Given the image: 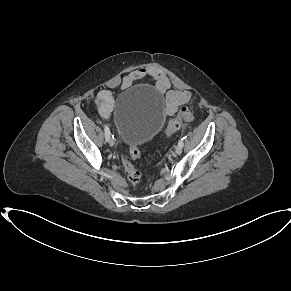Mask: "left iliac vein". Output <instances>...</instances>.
<instances>
[{"label": "left iliac vein", "instance_id": "obj_1", "mask_svg": "<svg viewBox=\"0 0 291 291\" xmlns=\"http://www.w3.org/2000/svg\"><path fill=\"white\" fill-rule=\"evenodd\" d=\"M175 153L178 155L182 153V146L180 144L176 146Z\"/></svg>", "mask_w": 291, "mask_h": 291}]
</instances>
